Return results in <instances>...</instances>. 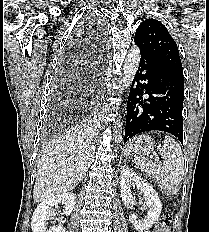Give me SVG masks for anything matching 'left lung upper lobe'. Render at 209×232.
I'll use <instances>...</instances> for the list:
<instances>
[{"instance_id":"obj_1","label":"left lung upper lobe","mask_w":209,"mask_h":232,"mask_svg":"<svg viewBox=\"0 0 209 232\" xmlns=\"http://www.w3.org/2000/svg\"><path fill=\"white\" fill-rule=\"evenodd\" d=\"M135 43L162 68L183 74L177 45L167 28L156 19H146L137 28Z\"/></svg>"}]
</instances>
